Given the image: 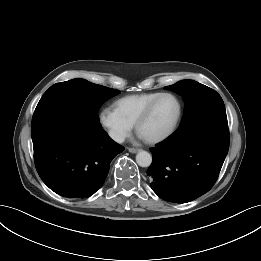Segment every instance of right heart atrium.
<instances>
[{"mask_svg": "<svg viewBox=\"0 0 261 261\" xmlns=\"http://www.w3.org/2000/svg\"><path fill=\"white\" fill-rule=\"evenodd\" d=\"M99 121L107 130L111 139L117 143H122L131 134L133 129V124L110 107H105L100 111Z\"/></svg>", "mask_w": 261, "mask_h": 261, "instance_id": "1", "label": "right heart atrium"}]
</instances>
